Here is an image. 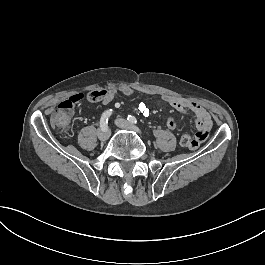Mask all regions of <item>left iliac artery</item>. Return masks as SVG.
Returning <instances> with one entry per match:
<instances>
[{
  "label": "left iliac artery",
  "instance_id": "1",
  "mask_svg": "<svg viewBox=\"0 0 265 265\" xmlns=\"http://www.w3.org/2000/svg\"><path fill=\"white\" fill-rule=\"evenodd\" d=\"M127 120L134 124H137L138 122L137 119L132 115H128Z\"/></svg>",
  "mask_w": 265,
  "mask_h": 265
}]
</instances>
